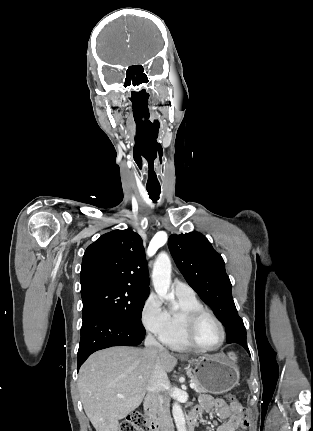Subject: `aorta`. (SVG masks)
<instances>
[{"instance_id": "aorta-1", "label": "aorta", "mask_w": 313, "mask_h": 431, "mask_svg": "<svg viewBox=\"0 0 313 431\" xmlns=\"http://www.w3.org/2000/svg\"><path fill=\"white\" fill-rule=\"evenodd\" d=\"M152 281L154 289L160 298H164L173 303L175 302L174 295L169 293L171 284V261L168 254L165 252L160 253L154 262ZM172 414L177 431H187L184 413L180 404L177 402L173 404Z\"/></svg>"}]
</instances>
